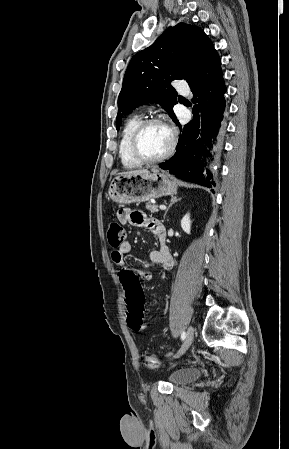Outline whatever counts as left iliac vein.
Wrapping results in <instances>:
<instances>
[{
	"label": "left iliac vein",
	"mask_w": 289,
	"mask_h": 449,
	"mask_svg": "<svg viewBox=\"0 0 289 449\" xmlns=\"http://www.w3.org/2000/svg\"><path fill=\"white\" fill-rule=\"evenodd\" d=\"M193 339H194V328L192 326H189L187 333H186L184 343H183L181 349L179 350L177 357L183 355L186 352V350L192 344Z\"/></svg>",
	"instance_id": "4c4485c4"
}]
</instances>
